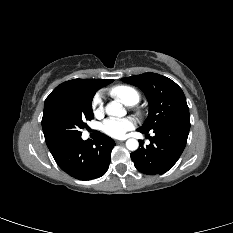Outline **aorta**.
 Listing matches in <instances>:
<instances>
[{
	"instance_id": "762f6f07",
	"label": "aorta",
	"mask_w": 233,
	"mask_h": 233,
	"mask_svg": "<svg viewBox=\"0 0 233 233\" xmlns=\"http://www.w3.org/2000/svg\"><path fill=\"white\" fill-rule=\"evenodd\" d=\"M105 111L109 116L115 117H122L126 114V111L123 108V106L115 101L107 104ZM126 147L130 151H135L139 147V142L134 138H130L126 141Z\"/></svg>"
}]
</instances>
